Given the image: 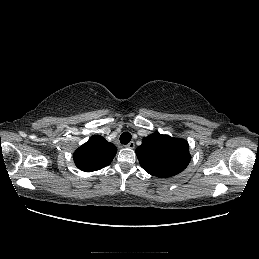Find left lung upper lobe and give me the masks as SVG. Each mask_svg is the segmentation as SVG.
<instances>
[{
    "label": "left lung upper lobe",
    "mask_w": 259,
    "mask_h": 259,
    "mask_svg": "<svg viewBox=\"0 0 259 259\" xmlns=\"http://www.w3.org/2000/svg\"><path fill=\"white\" fill-rule=\"evenodd\" d=\"M136 155L141 167L159 178L179 174L191 160L186 140L172 138L159 132L143 138L142 144L136 149Z\"/></svg>",
    "instance_id": "obj_1"
}]
</instances>
